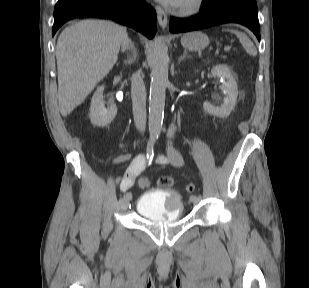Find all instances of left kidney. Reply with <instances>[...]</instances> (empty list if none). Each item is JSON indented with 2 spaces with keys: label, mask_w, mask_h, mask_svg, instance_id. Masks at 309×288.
<instances>
[{
  "label": "left kidney",
  "mask_w": 309,
  "mask_h": 288,
  "mask_svg": "<svg viewBox=\"0 0 309 288\" xmlns=\"http://www.w3.org/2000/svg\"><path fill=\"white\" fill-rule=\"evenodd\" d=\"M211 73L214 77H221L224 80L221 86V89L225 94L224 103L220 107H216L205 102L203 108L211 115L224 118L230 115L236 105L238 96L237 83L230 69L225 65H216L212 68Z\"/></svg>",
  "instance_id": "1"
}]
</instances>
